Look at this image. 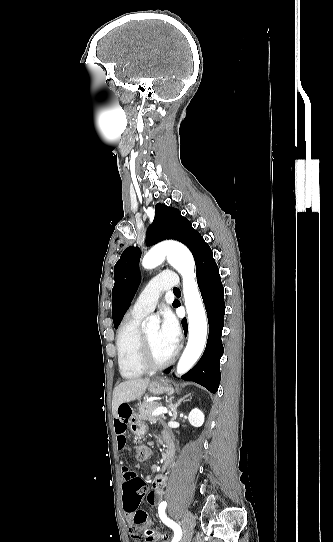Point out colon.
I'll return each mask as SVG.
<instances>
[{"mask_svg": "<svg viewBox=\"0 0 333 542\" xmlns=\"http://www.w3.org/2000/svg\"><path fill=\"white\" fill-rule=\"evenodd\" d=\"M150 455L151 449L146 444H143L137 452V458L139 460H145L149 458ZM129 471L130 470L128 468L123 470V475L127 480L133 477L132 473ZM122 493L125 500L123 504L125 512H127L129 515L134 512L133 516H136L134 518V523L138 526L150 525L152 520L151 517L148 516V512L144 509H139L138 507L145 494L143 480L141 478L133 479L130 481V483H123ZM146 534L151 539H160V533H158L155 529H149L146 531Z\"/></svg>", "mask_w": 333, "mask_h": 542, "instance_id": "obj_1", "label": "colon"}]
</instances>
